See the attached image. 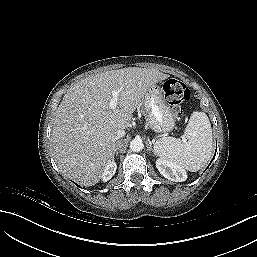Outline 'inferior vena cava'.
I'll return each mask as SVG.
<instances>
[{"mask_svg": "<svg viewBox=\"0 0 257 257\" xmlns=\"http://www.w3.org/2000/svg\"><path fill=\"white\" fill-rule=\"evenodd\" d=\"M125 135V131L124 130H117L111 137V141L113 143H115L117 140H119L120 138H122Z\"/></svg>", "mask_w": 257, "mask_h": 257, "instance_id": "inferior-vena-cava-1", "label": "inferior vena cava"}]
</instances>
